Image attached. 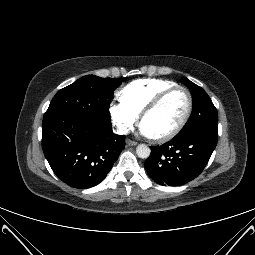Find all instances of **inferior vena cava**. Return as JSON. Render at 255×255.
<instances>
[{
    "instance_id": "1",
    "label": "inferior vena cava",
    "mask_w": 255,
    "mask_h": 255,
    "mask_svg": "<svg viewBox=\"0 0 255 255\" xmlns=\"http://www.w3.org/2000/svg\"><path fill=\"white\" fill-rule=\"evenodd\" d=\"M119 134H126L127 133V131L126 130H120V131H117Z\"/></svg>"
}]
</instances>
